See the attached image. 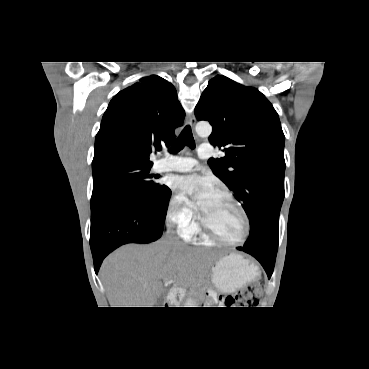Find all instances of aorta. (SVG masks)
<instances>
[{"instance_id":"obj_1","label":"aorta","mask_w":369,"mask_h":369,"mask_svg":"<svg viewBox=\"0 0 369 369\" xmlns=\"http://www.w3.org/2000/svg\"><path fill=\"white\" fill-rule=\"evenodd\" d=\"M195 130L200 137H208L212 132V127L207 122H200L196 125Z\"/></svg>"}]
</instances>
